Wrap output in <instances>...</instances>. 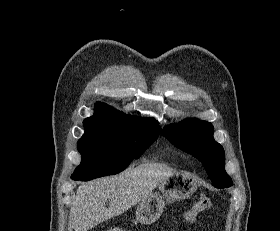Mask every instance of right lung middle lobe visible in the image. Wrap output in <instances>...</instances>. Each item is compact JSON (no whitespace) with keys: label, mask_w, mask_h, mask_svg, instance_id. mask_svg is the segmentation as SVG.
<instances>
[{"label":"right lung middle lobe","mask_w":280,"mask_h":231,"mask_svg":"<svg viewBox=\"0 0 280 231\" xmlns=\"http://www.w3.org/2000/svg\"><path fill=\"white\" fill-rule=\"evenodd\" d=\"M83 124L85 132L77 143L81 164L71 177L84 181L123 171L161 131L117 119H90Z\"/></svg>","instance_id":"1"}]
</instances>
